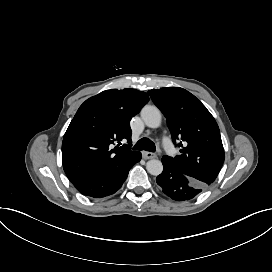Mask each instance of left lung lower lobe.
Wrapping results in <instances>:
<instances>
[{
    "mask_svg": "<svg viewBox=\"0 0 272 272\" xmlns=\"http://www.w3.org/2000/svg\"><path fill=\"white\" fill-rule=\"evenodd\" d=\"M163 172L157 176L156 182L163 192L176 201H188L197 196L207 186L184 175L168 161L162 158Z\"/></svg>",
    "mask_w": 272,
    "mask_h": 272,
    "instance_id": "1",
    "label": "left lung lower lobe"
}]
</instances>
